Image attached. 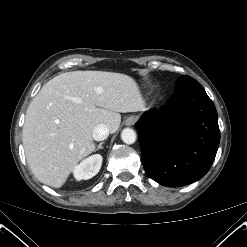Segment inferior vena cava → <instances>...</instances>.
Returning <instances> with one entry per match:
<instances>
[{"mask_svg":"<svg viewBox=\"0 0 247 247\" xmlns=\"http://www.w3.org/2000/svg\"><path fill=\"white\" fill-rule=\"evenodd\" d=\"M109 135V128L106 124H99L93 129V139L96 141L105 140Z\"/></svg>","mask_w":247,"mask_h":247,"instance_id":"inferior-vena-cava-1","label":"inferior vena cava"}]
</instances>
